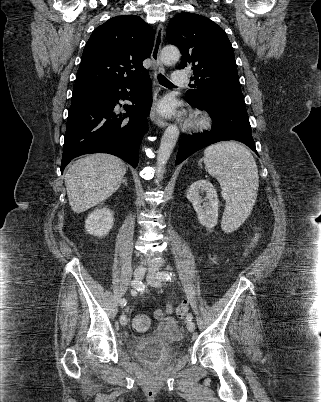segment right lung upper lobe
Instances as JSON below:
<instances>
[{
    "instance_id": "cb5924a9",
    "label": "right lung upper lobe",
    "mask_w": 321,
    "mask_h": 402,
    "mask_svg": "<svg viewBox=\"0 0 321 402\" xmlns=\"http://www.w3.org/2000/svg\"><path fill=\"white\" fill-rule=\"evenodd\" d=\"M154 44L152 28L140 17L117 16L97 27L85 45L74 87L121 85L149 77L143 67Z\"/></svg>"
}]
</instances>
